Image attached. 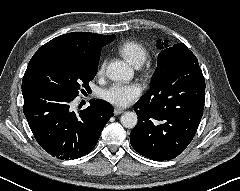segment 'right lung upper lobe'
Masks as SVG:
<instances>
[{
	"mask_svg": "<svg viewBox=\"0 0 240 191\" xmlns=\"http://www.w3.org/2000/svg\"><path fill=\"white\" fill-rule=\"evenodd\" d=\"M115 39V35H99L97 33L74 32L58 36L40 47L29 62L46 55L77 60H99L101 47Z\"/></svg>",
	"mask_w": 240,
	"mask_h": 191,
	"instance_id": "obj_1",
	"label": "right lung upper lobe"
}]
</instances>
